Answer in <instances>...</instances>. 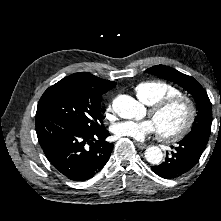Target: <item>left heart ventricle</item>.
<instances>
[{
  "mask_svg": "<svg viewBox=\"0 0 221 221\" xmlns=\"http://www.w3.org/2000/svg\"><path fill=\"white\" fill-rule=\"evenodd\" d=\"M185 110L182 105L177 104L166 108L154 120L157 129L164 133L176 131L184 122Z\"/></svg>",
  "mask_w": 221,
  "mask_h": 221,
  "instance_id": "obj_1",
  "label": "left heart ventricle"
}]
</instances>
